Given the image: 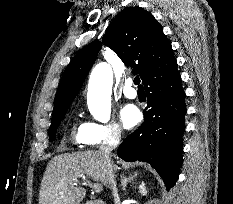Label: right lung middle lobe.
Segmentation results:
<instances>
[{"label": "right lung middle lobe", "mask_w": 233, "mask_h": 204, "mask_svg": "<svg viewBox=\"0 0 233 204\" xmlns=\"http://www.w3.org/2000/svg\"><path fill=\"white\" fill-rule=\"evenodd\" d=\"M65 113H66V112H64V113L61 114L60 116H58V117L52 119L51 126H50V130H49V135H50L49 140H50V141H53V140L55 139L57 127L59 126L61 120L63 119V117H64V115H65Z\"/></svg>", "instance_id": "1"}]
</instances>
